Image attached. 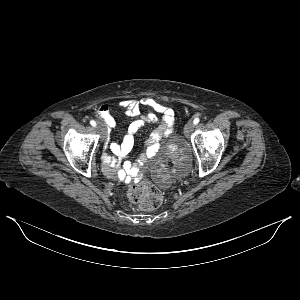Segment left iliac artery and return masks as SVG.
Instances as JSON below:
<instances>
[{
  "label": "left iliac artery",
  "instance_id": "1",
  "mask_svg": "<svg viewBox=\"0 0 300 300\" xmlns=\"http://www.w3.org/2000/svg\"><path fill=\"white\" fill-rule=\"evenodd\" d=\"M200 119L198 117H196L193 121L194 125H197L199 123Z\"/></svg>",
  "mask_w": 300,
  "mask_h": 300
}]
</instances>
